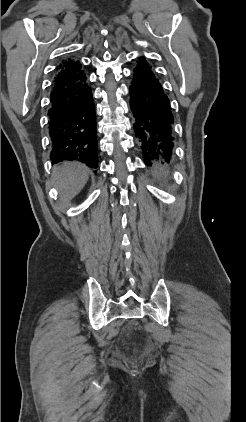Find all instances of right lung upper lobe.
I'll list each match as a JSON object with an SVG mask.
<instances>
[{"label":"right lung upper lobe","instance_id":"1","mask_svg":"<svg viewBox=\"0 0 246 422\" xmlns=\"http://www.w3.org/2000/svg\"><path fill=\"white\" fill-rule=\"evenodd\" d=\"M82 65L79 61L71 59L62 60L58 67V73L54 80L53 90L69 85L84 75Z\"/></svg>","mask_w":246,"mask_h":422}]
</instances>
